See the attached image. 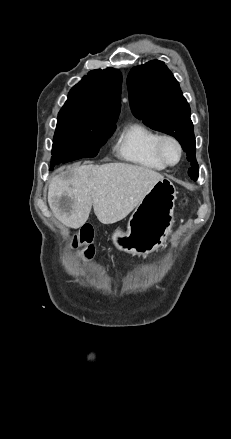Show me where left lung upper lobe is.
Returning a JSON list of instances; mask_svg holds the SVG:
<instances>
[{
	"instance_id": "5c2ea615",
	"label": "left lung upper lobe",
	"mask_w": 231,
	"mask_h": 439,
	"mask_svg": "<svg viewBox=\"0 0 231 439\" xmlns=\"http://www.w3.org/2000/svg\"><path fill=\"white\" fill-rule=\"evenodd\" d=\"M133 114L154 130L174 136L187 154L189 176L196 180L199 168L190 107L177 80L162 61L139 65L127 77Z\"/></svg>"
}]
</instances>
